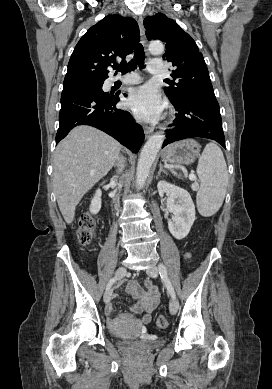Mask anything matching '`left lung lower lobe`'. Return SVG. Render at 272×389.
Instances as JSON below:
<instances>
[{
	"label": "left lung lower lobe",
	"instance_id": "0a47b994",
	"mask_svg": "<svg viewBox=\"0 0 272 389\" xmlns=\"http://www.w3.org/2000/svg\"><path fill=\"white\" fill-rule=\"evenodd\" d=\"M172 104L178 114L173 123L175 127L166 133L162 148L192 137L212 139L226 148L220 108L213 88L188 92L180 102Z\"/></svg>",
	"mask_w": 272,
	"mask_h": 389
}]
</instances>
